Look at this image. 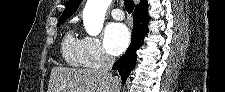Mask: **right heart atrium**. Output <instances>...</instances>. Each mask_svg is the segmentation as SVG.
I'll list each match as a JSON object with an SVG mask.
<instances>
[{
  "mask_svg": "<svg viewBox=\"0 0 225 92\" xmlns=\"http://www.w3.org/2000/svg\"><path fill=\"white\" fill-rule=\"evenodd\" d=\"M99 39L85 36L81 39V63L85 67H100L108 60Z\"/></svg>",
  "mask_w": 225,
  "mask_h": 92,
  "instance_id": "right-heart-atrium-1",
  "label": "right heart atrium"
}]
</instances>
